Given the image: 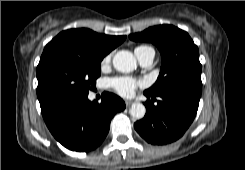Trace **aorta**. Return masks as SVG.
Here are the masks:
<instances>
[{"label": "aorta", "mask_w": 245, "mask_h": 170, "mask_svg": "<svg viewBox=\"0 0 245 170\" xmlns=\"http://www.w3.org/2000/svg\"><path fill=\"white\" fill-rule=\"evenodd\" d=\"M114 68L123 73L132 72L136 66L137 62L135 57L130 51L121 50L118 51L113 57ZM146 108L142 103H133L130 108V115L136 119H142L145 116Z\"/></svg>", "instance_id": "obj_1"}]
</instances>
